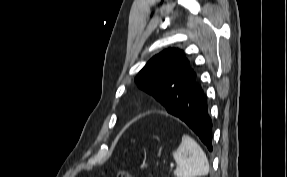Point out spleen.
Masks as SVG:
<instances>
[{
  "label": "spleen",
  "instance_id": "obj_1",
  "mask_svg": "<svg viewBox=\"0 0 287 177\" xmlns=\"http://www.w3.org/2000/svg\"><path fill=\"white\" fill-rule=\"evenodd\" d=\"M177 163L174 171L177 177L205 176L209 172V162L206 154L198 143L188 135L182 136L181 144L173 152Z\"/></svg>",
  "mask_w": 287,
  "mask_h": 177
}]
</instances>
